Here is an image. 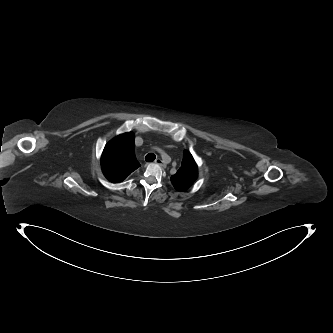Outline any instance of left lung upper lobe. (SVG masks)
<instances>
[{
  "label": "left lung upper lobe",
  "mask_w": 333,
  "mask_h": 333,
  "mask_svg": "<svg viewBox=\"0 0 333 333\" xmlns=\"http://www.w3.org/2000/svg\"><path fill=\"white\" fill-rule=\"evenodd\" d=\"M198 175V167L193 156L184 151L181 167L171 176V182L177 191H185L192 186Z\"/></svg>",
  "instance_id": "1"
}]
</instances>
